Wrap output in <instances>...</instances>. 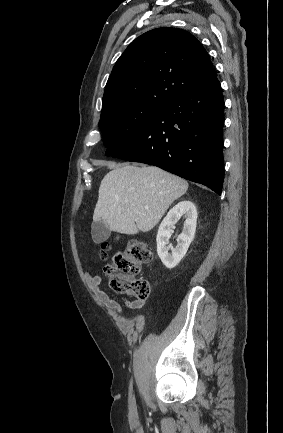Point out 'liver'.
Returning a JSON list of instances; mask_svg holds the SVG:
<instances>
[{"mask_svg":"<svg viewBox=\"0 0 283 433\" xmlns=\"http://www.w3.org/2000/svg\"><path fill=\"white\" fill-rule=\"evenodd\" d=\"M188 186L187 180L158 166L120 162L101 180L93 221L123 235L147 233Z\"/></svg>","mask_w":283,"mask_h":433,"instance_id":"6515ba94","label":"liver"}]
</instances>
